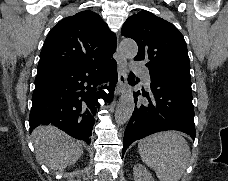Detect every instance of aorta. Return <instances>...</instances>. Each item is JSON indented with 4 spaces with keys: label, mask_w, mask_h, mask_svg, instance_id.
I'll return each instance as SVG.
<instances>
[{
    "label": "aorta",
    "mask_w": 228,
    "mask_h": 181,
    "mask_svg": "<svg viewBox=\"0 0 228 181\" xmlns=\"http://www.w3.org/2000/svg\"><path fill=\"white\" fill-rule=\"evenodd\" d=\"M119 51L126 59H133L137 55L138 46L136 42L131 39H123L119 45ZM134 107L133 92L131 90H126L121 95L116 107V123L119 125L127 123L132 116Z\"/></svg>",
    "instance_id": "762f6f07"
}]
</instances>
